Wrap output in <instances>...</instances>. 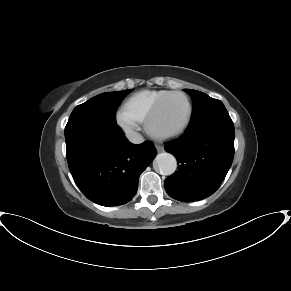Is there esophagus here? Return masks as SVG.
<instances>
[{"label":"esophagus","mask_w":291,"mask_h":291,"mask_svg":"<svg viewBox=\"0 0 291 291\" xmlns=\"http://www.w3.org/2000/svg\"><path fill=\"white\" fill-rule=\"evenodd\" d=\"M155 148H156V150H157L158 152H162V151H164V147L161 146V145H155Z\"/></svg>","instance_id":"1"}]
</instances>
